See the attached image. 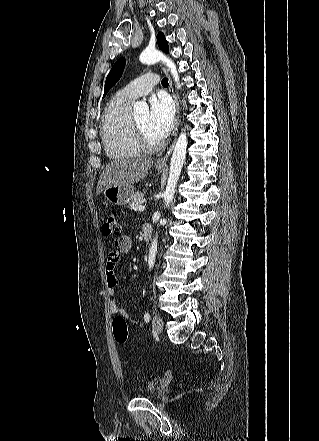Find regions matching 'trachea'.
<instances>
[{
	"instance_id": "obj_1",
	"label": "trachea",
	"mask_w": 319,
	"mask_h": 441,
	"mask_svg": "<svg viewBox=\"0 0 319 441\" xmlns=\"http://www.w3.org/2000/svg\"><path fill=\"white\" fill-rule=\"evenodd\" d=\"M161 83H162V86H164V87H166V86L169 85V84H168V79H167V78L162 79Z\"/></svg>"
}]
</instances>
